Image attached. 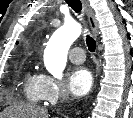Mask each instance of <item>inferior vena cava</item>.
Masks as SVG:
<instances>
[{"instance_id": "obj_1", "label": "inferior vena cava", "mask_w": 133, "mask_h": 118, "mask_svg": "<svg viewBox=\"0 0 133 118\" xmlns=\"http://www.w3.org/2000/svg\"><path fill=\"white\" fill-rule=\"evenodd\" d=\"M68 96H69L68 91H65V90L61 91L60 97H61L62 101L67 100Z\"/></svg>"}]
</instances>
